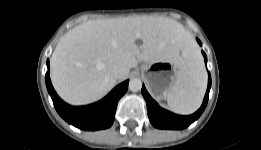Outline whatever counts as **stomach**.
Masks as SVG:
<instances>
[{
  "label": "stomach",
  "instance_id": "obj_1",
  "mask_svg": "<svg viewBox=\"0 0 261 150\" xmlns=\"http://www.w3.org/2000/svg\"><path fill=\"white\" fill-rule=\"evenodd\" d=\"M141 73L150 92L157 99H164L178 80L180 68L174 62L144 63Z\"/></svg>",
  "mask_w": 261,
  "mask_h": 150
}]
</instances>
